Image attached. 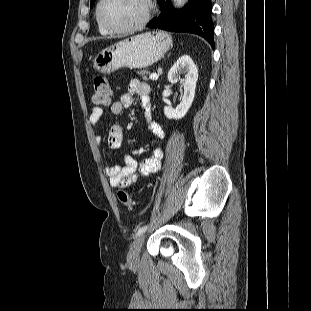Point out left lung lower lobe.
I'll list each match as a JSON object with an SVG mask.
<instances>
[{"label":"left lung lower lobe","instance_id":"0a47b994","mask_svg":"<svg viewBox=\"0 0 311 311\" xmlns=\"http://www.w3.org/2000/svg\"><path fill=\"white\" fill-rule=\"evenodd\" d=\"M157 1L162 3L161 12L148 23L149 28L194 33L206 39L214 47L211 0H189V3L180 10H174L170 0Z\"/></svg>","mask_w":311,"mask_h":311}]
</instances>
